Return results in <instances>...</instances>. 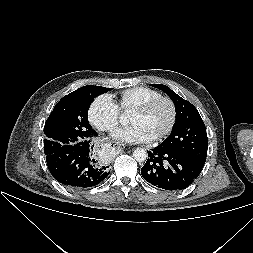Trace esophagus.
<instances>
[{
    "instance_id": "obj_1",
    "label": "esophagus",
    "mask_w": 253,
    "mask_h": 253,
    "mask_svg": "<svg viewBox=\"0 0 253 253\" xmlns=\"http://www.w3.org/2000/svg\"><path fill=\"white\" fill-rule=\"evenodd\" d=\"M109 146L119 148L120 145L118 144V142L111 141V142H109Z\"/></svg>"
}]
</instances>
